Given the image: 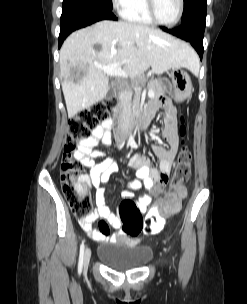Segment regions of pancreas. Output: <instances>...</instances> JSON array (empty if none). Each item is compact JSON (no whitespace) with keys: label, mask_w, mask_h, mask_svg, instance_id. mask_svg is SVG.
Listing matches in <instances>:
<instances>
[{"label":"pancreas","mask_w":247,"mask_h":304,"mask_svg":"<svg viewBox=\"0 0 247 304\" xmlns=\"http://www.w3.org/2000/svg\"><path fill=\"white\" fill-rule=\"evenodd\" d=\"M149 90H153L155 93L154 98H159L160 96L165 94V88L163 84L159 80L150 81L148 83ZM140 102V96L138 94L135 95L134 98V110H138Z\"/></svg>","instance_id":"pancreas-1"}]
</instances>
